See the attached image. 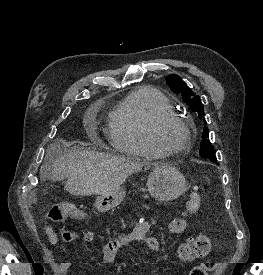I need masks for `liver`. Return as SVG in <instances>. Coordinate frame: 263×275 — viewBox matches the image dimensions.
<instances>
[{"label": "liver", "instance_id": "obj_1", "mask_svg": "<svg viewBox=\"0 0 263 275\" xmlns=\"http://www.w3.org/2000/svg\"><path fill=\"white\" fill-rule=\"evenodd\" d=\"M69 145L64 140L54 142L40 173L42 177L48 173L57 181L67 179L65 188L75 196L107 194L143 166L122 157L89 150L66 151ZM51 151L57 155L52 163L48 160Z\"/></svg>", "mask_w": 263, "mask_h": 275}]
</instances>
